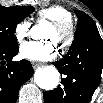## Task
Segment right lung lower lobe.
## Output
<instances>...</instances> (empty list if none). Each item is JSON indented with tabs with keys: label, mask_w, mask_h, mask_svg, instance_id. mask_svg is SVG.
Instances as JSON below:
<instances>
[{
	"label": "right lung lower lobe",
	"mask_w": 103,
	"mask_h": 103,
	"mask_svg": "<svg viewBox=\"0 0 103 103\" xmlns=\"http://www.w3.org/2000/svg\"><path fill=\"white\" fill-rule=\"evenodd\" d=\"M18 47L10 50L0 49V103H15L20 87L33 74L29 61H12Z\"/></svg>",
	"instance_id": "right-lung-lower-lobe-1"
}]
</instances>
